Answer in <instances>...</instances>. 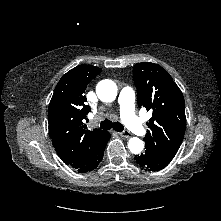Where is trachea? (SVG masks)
<instances>
[{
  "label": "trachea",
  "instance_id": "obj_1",
  "mask_svg": "<svg viewBox=\"0 0 221 221\" xmlns=\"http://www.w3.org/2000/svg\"><path fill=\"white\" fill-rule=\"evenodd\" d=\"M101 129L110 130L113 128L117 132H122L124 130V126L119 122H112L111 120L105 119L100 124Z\"/></svg>",
  "mask_w": 221,
  "mask_h": 221
}]
</instances>
